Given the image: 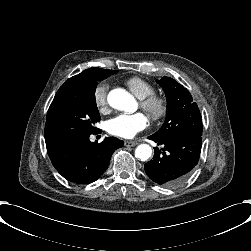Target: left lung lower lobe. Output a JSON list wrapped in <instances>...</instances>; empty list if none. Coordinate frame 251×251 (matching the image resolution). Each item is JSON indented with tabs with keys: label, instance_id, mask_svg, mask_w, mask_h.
I'll list each match as a JSON object with an SVG mask.
<instances>
[{
	"label": "left lung lower lobe",
	"instance_id": "0a47b994",
	"mask_svg": "<svg viewBox=\"0 0 251 251\" xmlns=\"http://www.w3.org/2000/svg\"><path fill=\"white\" fill-rule=\"evenodd\" d=\"M148 139L164 145V148L163 152L154 148L153 159L144 166L147 176L153 182L167 187L182 183L198 163L201 135L184 134L163 140L151 135Z\"/></svg>",
	"mask_w": 251,
	"mask_h": 251
}]
</instances>
